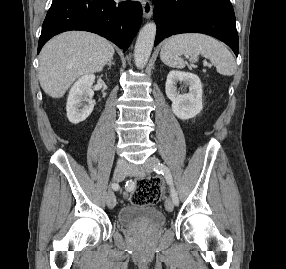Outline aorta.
<instances>
[{
  "label": "aorta",
  "instance_id": "1",
  "mask_svg": "<svg viewBox=\"0 0 286 269\" xmlns=\"http://www.w3.org/2000/svg\"><path fill=\"white\" fill-rule=\"evenodd\" d=\"M156 35V24L147 23L140 30L134 49V61L138 68H144L150 58Z\"/></svg>",
  "mask_w": 286,
  "mask_h": 269
}]
</instances>
